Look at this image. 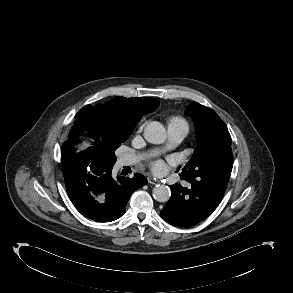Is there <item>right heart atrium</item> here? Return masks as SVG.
Returning a JSON list of instances; mask_svg holds the SVG:
<instances>
[{
  "mask_svg": "<svg viewBox=\"0 0 293 293\" xmlns=\"http://www.w3.org/2000/svg\"><path fill=\"white\" fill-rule=\"evenodd\" d=\"M143 128V126L141 125L140 127H139V130H141Z\"/></svg>",
  "mask_w": 293,
  "mask_h": 293,
  "instance_id": "obj_1",
  "label": "right heart atrium"
}]
</instances>
